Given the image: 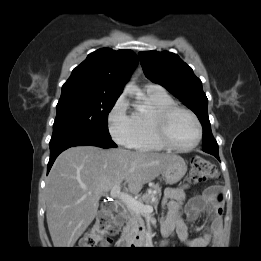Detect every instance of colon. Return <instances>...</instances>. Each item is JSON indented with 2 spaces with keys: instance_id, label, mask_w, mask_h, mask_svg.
<instances>
[{
  "instance_id": "obj_1",
  "label": "colon",
  "mask_w": 261,
  "mask_h": 261,
  "mask_svg": "<svg viewBox=\"0 0 261 261\" xmlns=\"http://www.w3.org/2000/svg\"><path fill=\"white\" fill-rule=\"evenodd\" d=\"M217 176V170L206 158L195 156L192 160L189 180L192 183H201ZM113 218V207L110 203H103L90 231L81 241V247L89 249L99 243L104 244V234L109 222Z\"/></svg>"
}]
</instances>
